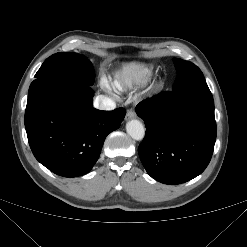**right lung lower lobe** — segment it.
Masks as SVG:
<instances>
[{
    "mask_svg": "<svg viewBox=\"0 0 247 247\" xmlns=\"http://www.w3.org/2000/svg\"><path fill=\"white\" fill-rule=\"evenodd\" d=\"M90 85L56 78L34 80L29 88L25 128L35 158L53 173L77 177L99 158L104 140L120 127L123 108L92 107Z\"/></svg>",
    "mask_w": 247,
    "mask_h": 247,
    "instance_id": "right-lung-lower-lobe-1",
    "label": "right lung lower lobe"
}]
</instances>
